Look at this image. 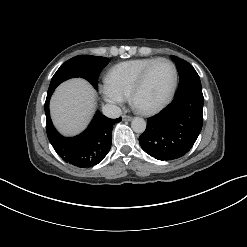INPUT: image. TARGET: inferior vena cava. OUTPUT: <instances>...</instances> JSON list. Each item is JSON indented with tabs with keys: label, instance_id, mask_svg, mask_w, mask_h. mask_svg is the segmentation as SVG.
Listing matches in <instances>:
<instances>
[{
	"label": "inferior vena cava",
	"instance_id": "inferior-vena-cava-1",
	"mask_svg": "<svg viewBox=\"0 0 247 247\" xmlns=\"http://www.w3.org/2000/svg\"><path fill=\"white\" fill-rule=\"evenodd\" d=\"M102 111H103V114L109 118H118L122 114L121 109L112 104L104 105Z\"/></svg>",
	"mask_w": 247,
	"mask_h": 247
}]
</instances>
